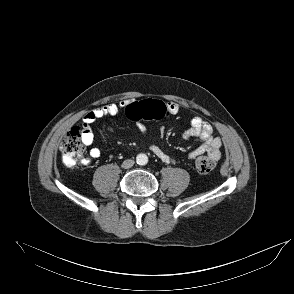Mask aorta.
Segmentation results:
<instances>
[{
	"mask_svg": "<svg viewBox=\"0 0 294 294\" xmlns=\"http://www.w3.org/2000/svg\"><path fill=\"white\" fill-rule=\"evenodd\" d=\"M136 162L138 165H146L148 162V157L146 154L140 153L136 156Z\"/></svg>",
	"mask_w": 294,
	"mask_h": 294,
	"instance_id": "1",
	"label": "aorta"
}]
</instances>
